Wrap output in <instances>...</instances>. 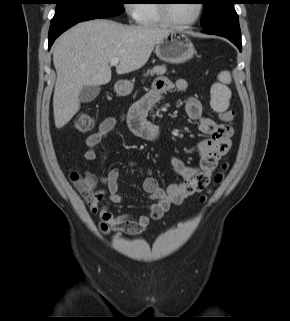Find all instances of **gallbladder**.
I'll use <instances>...</instances> for the list:
<instances>
[{
	"label": "gallbladder",
	"instance_id": "bac80fb5",
	"mask_svg": "<svg viewBox=\"0 0 290 321\" xmlns=\"http://www.w3.org/2000/svg\"><path fill=\"white\" fill-rule=\"evenodd\" d=\"M99 86H84L79 93V101L88 103L93 101L100 93Z\"/></svg>",
	"mask_w": 290,
	"mask_h": 321
}]
</instances>
